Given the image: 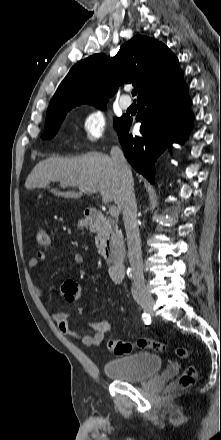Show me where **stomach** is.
Listing matches in <instances>:
<instances>
[{
  "instance_id": "obj_1",
  "label": "stomach",
  "mask_w": 221,
  "mask_h": 440,
  "mask_svg": "<svg viewBox=\"0 0 221 440\" xmlns=\"http://www.w3.org/2000/svg\"><path fill=\"white\" fill-rule=\"evenodd\" d=\"M88 225V221L86 219H82L78 222L79 227H85Z\"/></svg>"
}]
</instances>
